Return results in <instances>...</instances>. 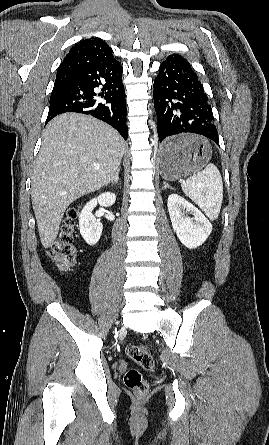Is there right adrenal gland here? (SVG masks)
Returning a JSON list of instances; mask_svg holds the SVG:
<instances>
[{
	"mask_svg": "<svg viewBox=\"0 0 269 445\" xmlns=\"http://www.w3.org/2000/svg\"><path fill=\"white\" fill-rule=\"evenodd\" d=\"M120 167L117 169L115 176L111 179L109 183L117 184L119 180Z\"/></svg>",
	"mask_w": 269,
	"mask_h": 445,
	"instance_id": "1",
	"label": "right adrenal gland"
}]
</instances>
